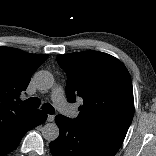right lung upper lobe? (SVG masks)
Instances as JSON below:
<instances>
[{
    "label": "right lung upper lobe",
    "instance_id": "1",
    "mask_svg": "<svg viewBox=\"0 0 156 156\" xmlns=\"http://www.w3.org/2000/svg\"><path fill=\"white\" fill-rule=\"evenodd\" d=\"M47 58L48 55L0 47V125L34 110L18 105L16 100L20 92L26 90L32 74Z\"/></svg>",
    "mask_w": 156,
    "mask_h": 156
}]
</instances>
